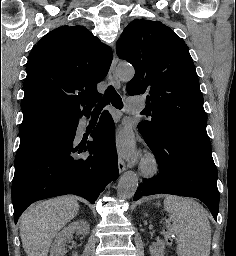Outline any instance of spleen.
<instances>
[{
	"label": "spleen",
	"instance_id": "spleen-1",
	"mask_svg": "<svg viewBox=\"0 0 236 256\" xmlns=\"http://www.w3.org/2000/svg\"><path fill=\"white\" fill-rule=\"evenodd\" d=\"M164 208L173 218L178 256H210L211 228L204 208L178 196H166Z\"/></svg>",
	"mask_w": 236,
	"mask_h": 256
}]
</instances>
